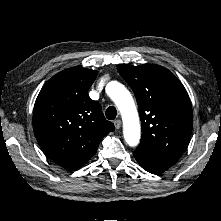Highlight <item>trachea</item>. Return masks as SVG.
I'll return each mask as SVG.
<instances>
[{"instance_id":"obj_1","label":"trachea","mask_w":221,"mask_h":221,"mask_svg":"<svg viewBox=\"0 0 221 221\" xmlns=\"http://www.w3.org/2000/svg\"><path fill=\"white\" fill-rule=\"evenodd\" d=\"M117 115V110L114 106H110L107 108L106 110V118L108 120H114L116 118Z\"/></svg>"}]
</instances>
